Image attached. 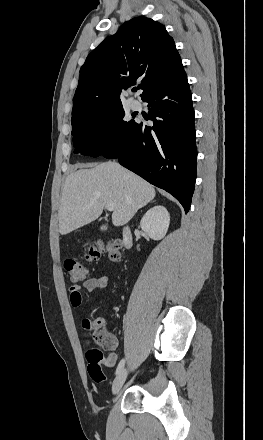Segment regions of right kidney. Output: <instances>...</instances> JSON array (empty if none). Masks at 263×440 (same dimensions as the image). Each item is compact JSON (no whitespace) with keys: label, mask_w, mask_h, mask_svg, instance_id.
<instances>
[{"label":"right kidney","mask_w":263,"mask_h":440,"mask_svg":"<svg viewBox=\"0 0 263 440\" xmlns=\"http://www.w3.org/2000/svg\"><path fill=\"white\" fill-rule=\"evenodd\" d=\"M170 215L164 206L157 205L149 209L142 217L140 226L153 240H161L166 235Z\"/></svg>","instance_id":"obj_1"}]
</instances>
